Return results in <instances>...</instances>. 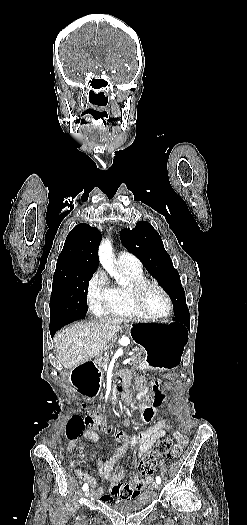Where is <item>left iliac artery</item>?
I'll use <instances>...</instances> for the list:
<instances>
[{"mask_svg":"<svg viewBox=\"0 0 247 525\" xmlns=\"http://www.w3.org/2000/svg\"><path fill=\"white\" fill-rule=\"evenodd\" d=\"M156 482H157L158 484L161 483V478H160L159 476L156 477Z\"/></svg>","mask_w":247,"mask_h":525,"instance_id":"obj_1","label":"left iliac artery"}]
</instances>
